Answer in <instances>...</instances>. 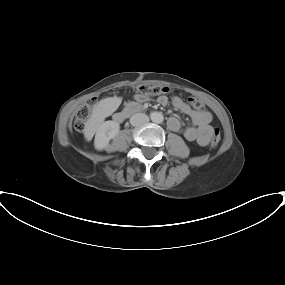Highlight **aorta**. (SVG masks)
Segmentation results:
<instances>
[{"instance_id":"1","label":"aorta","mask_w":285,"mask_h":285,"mask_svg":"<svg viewBox=\"0 0 285 285\" xmlns=\"http://www.w3.org/2000/svg\"><path fill=\"white\" fill-rule=\"evenodd\" d=\"M151 120L155 123H162L164 120V116L161 112H154L151 114Z\"/></svg>"}]
</instances>
